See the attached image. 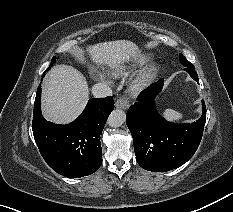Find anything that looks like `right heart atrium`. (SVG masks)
I'll return each mask as SVG.
<instances>
[{
    "instance_id": "obj_1",
    "label": "right heart atrium",
    "mask_w": 233,
    "mask_h": 212,
    "mask_svg": "<svg viewBox=\"0 0 233 212\" xmlns=\"http://www.w3.org/2000/svg\"><path fill=\"white\" fill-rule=\"evenodd\" d=\"M94 77L97 79V80H105V75H103L102 73H95L94 74Z\"/></svg>"
}]
</instances>
